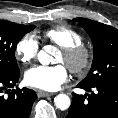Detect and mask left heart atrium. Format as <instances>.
<instances>
[{
    "label": "left heart atrium",
    "mask_w": 118,
    "mask_h": 118,
    "mask_svg": "<svg viewBox=\"0 0 118 118\" xmlns=\"http://www.w3.org/2000/svg\"><path fill=\"white\" fill-rule=\"evenodd\" d=\"M68 79V72L64 65L35 66L25 73V81L28 85L45 90L56 91Z\"/></svg>",
    "instance_id": "left-heart-atrium-1"
}]
</instances>
